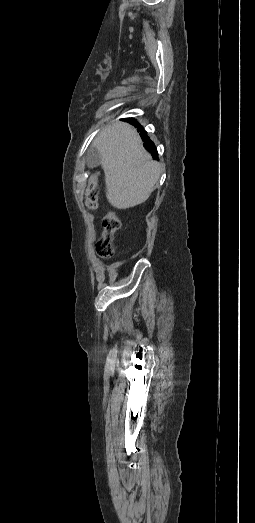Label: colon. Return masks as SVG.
<instances>
[{
  "mask_svg": "<svg viewBox=\"0 0 255 523\" xmlns=\"http://www.w3.org/2000/svg\"><path fill=\"white\" fill-rule=\"evenodd\" d=\"M86 206L95 210L98 205L97 176L92 175L89 179L85 193ZM103 231L96 244V253L99 257L109 259L114 255V236L120 229V220L117 215L107 212L102 220Z\"/></svg>",
  "mask_w": 255,
  "mask_h": 523,
  "instance_id": "1",
  "label": "colon"
}]
</instances>
